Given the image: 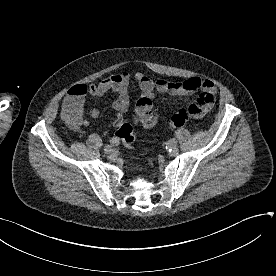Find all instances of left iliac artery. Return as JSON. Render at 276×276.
<instances>
[{"label": "left iliac artery", "mask_w": 276, "mask_h": 276, "mask_svg": "<svg viewBox=\"0 0 276 276\" xmlns=\"http://www.w3.org/2000/svg\"><path fill=\"white\" fill-rule=\"evenodd\" d=\"M177 145V140L175 138H172L169 140L168 142V147L171 148L173 146H176Z\"/></svg>", "instance_id": "1"}]
</instances>
